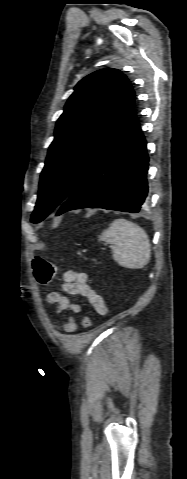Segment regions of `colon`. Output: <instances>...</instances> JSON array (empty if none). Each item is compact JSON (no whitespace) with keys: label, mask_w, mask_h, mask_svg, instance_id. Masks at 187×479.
Wrapping results in <instances>:
<instances>
[{"label":"colon","mask_w":187,"mask_h":479,"mask_svg":"<svg viewBox=\"0 0 187 479\" xmlns=\"http://www.w3.org/2000/svg\"><path fill=\"white\" fill-rule=\"evenodd\" d=\"M32 269L35 280L40 285L50 283L56 273V265L39 256L33 258ZM92 324L93 319L90 315H85L81 320V326L83 328H90Z\"/></svg>","instance_id":"obj_1"}]
</instances>
